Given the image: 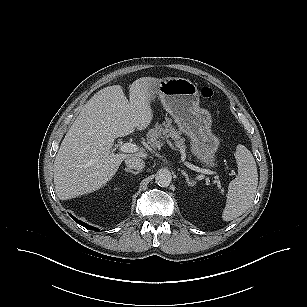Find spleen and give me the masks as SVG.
<instances>
[{"label":"spleen","instance_id":"3e777b00","mask_svg":"<svg viewBox=\"0 0 307 307\" xmlns=\"http://www.w3.org/2000/svg\"><path fill=\"white\" fill-rule=\"evenodd\" d=\"M235 158L238 176L228 186L226 206L222 214L224 221H231L248 210L253 203L258 185L257 166L252 153L239 144Z\"/></svg>","mask_w":307,"mask_h":307}]
</instances>
